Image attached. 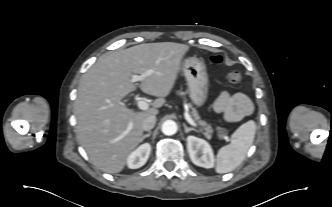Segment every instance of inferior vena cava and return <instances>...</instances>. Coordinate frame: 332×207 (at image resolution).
<instances>
[{"mask_svg":"<svg viewBox=\"0 0 332 207\" xmlns=\"http://www.w3.org/2000/svg\"><path fill=\"white\" fill-rule=\"evenodd\" d=\"M155 123H156V117L154 115H151L143 121L142 129L144 131H150L152 128H154Z\"/></svg>","mask_w":332,"mask_h":207,"instance_id":"1","label":"inferior vena cava"}]
</instances>
